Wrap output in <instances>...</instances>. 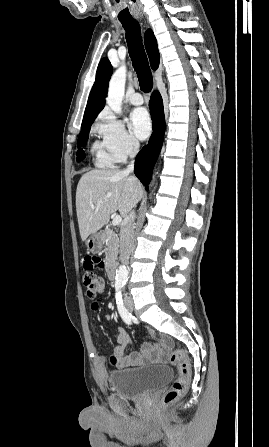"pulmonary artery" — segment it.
Returning <instances> with one entry per match:
<instances>
[{"mask_svg": "<svg viewBox=\"0 0 269 447\" xmlns=\"http://www.w3.org/2000/svg\"><path fill=\"white\" fill-rule=\"evenodd\" d=\"M129 102L132 105H141L144 103L143 96L140 93H133L129 97Z\"/></svg>", "mask_w": 269, "mask_h": 447, "instance_id": "obj_1", "label": "pulmonary artery"}]
</instances>
